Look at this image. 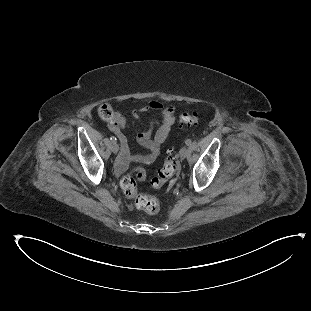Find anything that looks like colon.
<instances>
[{
    "mask_svg": "<svg viewBox=\"0 0 311 311\" xmlns=\"http://www.w3.org/2000/svg\"><path fill=\"white\" fill-rule=\"evenodd\" d=\"M98 114L102 118H110L113 113L111 108L106 105L99 106ZM200 122V115L196 112L180 114L178 123L181 126H195ZM179 171V164L172 152L169 150L164 159V164L160 168L158 175L151 180V186L154 189H161L174 175ZM139 178H145L144 169L138 170ZM121 189L124 195L133 200L138 209L153 214L160 208L158 198L139 192L138 183L131 173H126L121 179Z\"/></svg>",
    "mask_w": 311,
    "mask_h": 311,
    "instance_id": "1",
    "label": "colon"
}]
</instances>
